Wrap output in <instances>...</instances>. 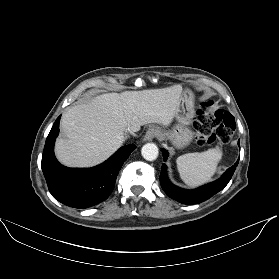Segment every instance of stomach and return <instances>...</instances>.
Wrapping results in <instances>:
<instances>
[{
	"label": "stomach",
	"instance_id": "0dacf381",
	"mask_svg": "<svg viewBox=\"0 0 279 279\" xmlns=\"http://www.w3.org/2000/svg\"><path fill=\"white\" fill-rule=\"evenodd\" d=\"M194 117V96L189 89L182 92L180 106L176 113L178 124L172 130H161L160 138L162 140H170L177 148L186 147L193 138V133L189 128V124Z\"/></svg>",
	"mask_w": 279,
	"mask_h": 279
}]
</instances>
